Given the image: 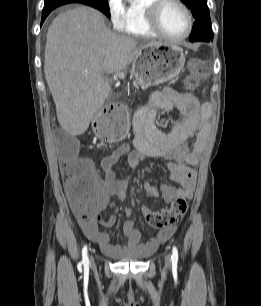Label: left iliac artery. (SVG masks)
Masks as SVG:
<instances>
[{"instance_id":"1","label":"left iliac artery","mask_w":261,"mask_h":306,"mask_svg":"<svg viewBox=\"0 0 261 306\" xmlns=\"http://www.w3.org/2000/svg\"><path fill=\"white\" fill-rule=\"evenodd\" d=\"M171 260L173 264H176L178 262V250L175 246L172 249Z\"/></svg>"}]
</instances>
